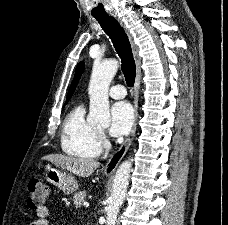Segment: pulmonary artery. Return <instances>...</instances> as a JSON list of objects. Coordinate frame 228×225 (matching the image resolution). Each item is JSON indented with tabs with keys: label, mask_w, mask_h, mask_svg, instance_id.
<instances>
[{
	"label": "pulmonary artery",
	"mask_w": 228,
	"mask_h": 225,
	"mask_svg": "<svg viewBox=\"0 0 228 225\" xmlns=\"http://www.w3.org/2000/svg\"><path fill=\"white\" fill-rule=\"evenodd\" d=\"M126 93L127 91L122 85H116L109 89V95L114 99L124 98L126 96Z\"/></svg>",
	"instance_id": "obj_1"
}]
</instances>
